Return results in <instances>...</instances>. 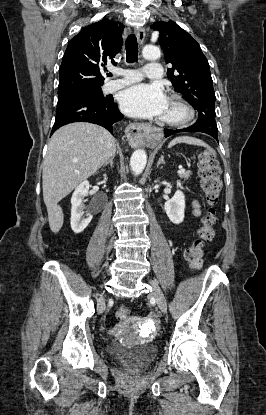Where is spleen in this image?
I'll use <instances>...</instances> for the list:
<instances>
[{
	"instance_id": "obj_1",
	"label": "spleen",
	"mask_w": 266,
	"mask_h": 415,
	"mask_svg": "<svg viewBox=\"0 0 266 415\" xmlns=\"http://www.w3.org/2000/svg\"><path fill=\"white\" fill-rule=\"evenodd\" d=\"M177 143H186L190 145H199V146L207 147L213 155H216L215 151L212 150L204 141L194 138V137H189V136L176 137L169 143L168 147H172Z\"/></svg>"
}]
</instances>
